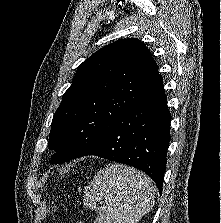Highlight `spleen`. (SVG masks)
Segmentation results:
<instances>
[{
    "label": "spleen",
    "instance_id": "obj_1",
    "mask_svg": "<svg viewBox=\"0 0 221 223\" xmlns=\"http://www.w3.org/2000/svg\"><path fill=\"white\" fill-rule=\"evenodd\" d=\"M154 200L150 178L122 164L110 163L99 170L84 190V205L99 212L94 223H137Z\"/></svg>",
    "mask_w": 221,
    "mask_h": 223
}]
</instances>
